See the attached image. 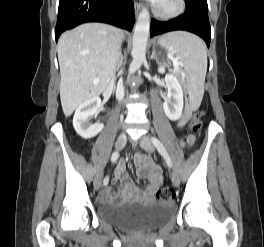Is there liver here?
Instances as JSON below:
<instances>
[{"label": "liver", "mask_w": 264, "mask_h": 247, "mask_svg": "<svg viewBox=\"0 0 264 247\" xmlns=\"http://www.w3.org/2000/svg\"><path fill=\"white\" fill-rule=\"evenodd\" d=\"M123 32L102 23H85L58 41L60 99L66 117L84 101L105 91L113 76Z\"/></svg>", "instance_id": "liver-1"}]
</instances>
